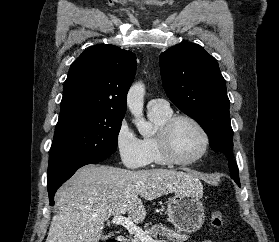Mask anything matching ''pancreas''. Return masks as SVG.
I'll return each instance as SVG.
<instances>
[{
  "mask_svg": "<svg viewBox=\"0 0 279 242\" xmlns=\"http://www.w3.org/2000/svg\"><path fill=\"white\" fill-rule=\"evenodd\" d=\"M146 233L156 239L157 237H165L172 242H185L189 236L182 234L179 230L168 228L162 224L153 225L151 228L146 229ZM131 242H141L137 237L131 239Z\"/></svg>",
  "mask_w": 279,
  "mask_h": 242,
  "instance_id": "cf45deb5",
  "label": "pancreas"
}]
</instances>
